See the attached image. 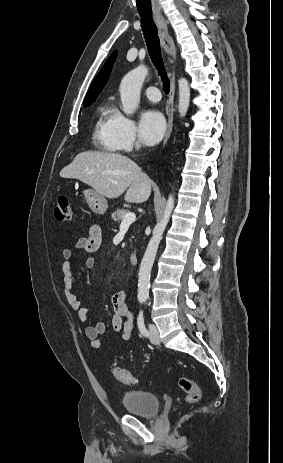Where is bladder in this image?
Here are the masks:
<instances>
[{
    "instance_id": "31cf9c89",
    "label": "bladder",
    "mask_w": 283,
    "mask_h": 463,
    "mask_svg": "<svg viewBox=\"0 0 283 463\" xmlns=\"http://www.w3.org/2000/svg\"><path fill=\"white\" fill-rule=\"evenodd\" d=\"M121 403L127 413L147 418L156 417L161 409L159 396L140 390L126 391Z\"/></svg>"
}]
</instances>
